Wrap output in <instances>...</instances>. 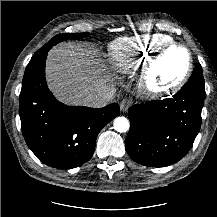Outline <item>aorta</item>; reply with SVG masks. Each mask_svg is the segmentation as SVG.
Segmentation results:
<instances>
[{"instance_id": "obj_1", "label": "aorta", "mask_w": 217, "mask_h": 217, "mask_svg": "<svg viewBox=\"0 0 217 217\" xmlns=\"http://www.w3.org/2000/svg\"><path fill=\"white\" fill-rule=\"evenodd\" d=\"M130 124L127 118L125 117H117L114 120V129L117 132L124 133L129 130Z\"/></svg>"}]
</instances>
